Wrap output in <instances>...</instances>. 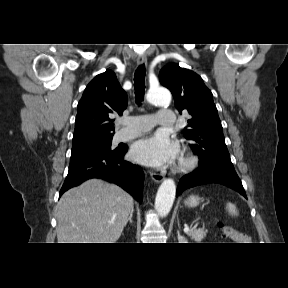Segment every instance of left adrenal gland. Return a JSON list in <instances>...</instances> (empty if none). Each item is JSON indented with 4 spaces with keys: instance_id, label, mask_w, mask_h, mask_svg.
Returning <instances> with one entry per match:
<instances>
[{
    "instance_id": "left-adrenal-gland-1",
    "label": "left adrenal gland",
    "mask_w": 288,
    "mask_h": 288,
    "mask_svg": "<svg viewBox=\"0 0 288 288\" xmlns=\"http://www.w3.org/2000/svg\"><path fill=\"white\" fill-rule=\"evenodd\" d=\"M177 235H178L177 238H178L179 243H187L188 242L187 239L185 237H183L179 231H177Z\"/></svg>"
}]
</instances>
